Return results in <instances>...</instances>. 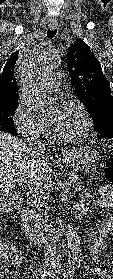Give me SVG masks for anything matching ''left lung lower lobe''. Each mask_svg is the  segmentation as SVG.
I'll list each match as a JSON object with an SVG mask.
<instances>
[{"mask_svg": "<svg viewBox=\"0 0 113 279\" xmlns=\"http://www.w3.org/2000/svg\"><path fill=\"white\" fill-rule=\"evenodd\" d=\"M112 137H113L112 134H107L105 137H100V136H98V138H112Z\"/></svg>", "mask_w": 113, "mask_h": 279, "instance_id": "0a47b994", "label": "left lung lower lobe"}]
</instances>
